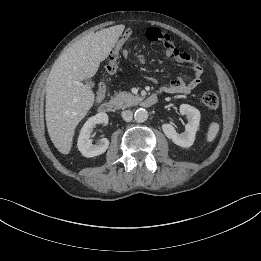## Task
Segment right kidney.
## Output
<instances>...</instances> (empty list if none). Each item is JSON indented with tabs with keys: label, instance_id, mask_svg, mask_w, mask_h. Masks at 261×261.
<instances>
[{
	"label": "right kidney",
	"instance_id": "obj_1",
	"mask_svg": "<svg viewBox=\"0 0 261 261\" xmlns=\"http://www.w3.org/2000/svg\"><path fill=\"white\" fill-rule=\"evenodd\" d=\"M108 115L104 112L98 113L95 116L90 117L83 125L80 135L78 137L77 146L79 151L85 157H95L103 154L108 146L109 140L107 138H102L95 145L92 144L90 139L91 132L96 124H107Z\"/></svg>",
	"mask_w": 261,
	"mask_h": 261
}]
</instances>
